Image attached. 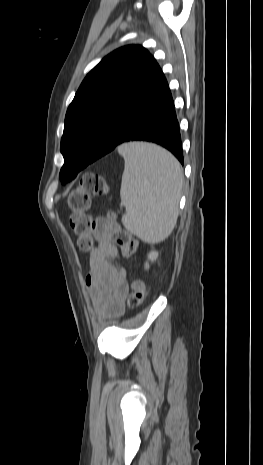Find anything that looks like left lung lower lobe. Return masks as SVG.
<instances>
[{
    "instance_id": "0a47b994",
    "label": "left lung lower lobe",
    "mask_w": 263,
    "mask_h": 465,
    "mask_svg": "<svg viewBox=\"0 0 263 465\" xmlns=\"http://www.w3.org/2000/svg\"><path fill=\"white\" fill-rule=\"evenodd\" d=\"M129 141H148L171 151L184 163L179 124L168 83L156 63L148 72L136 96L118 110L111 129L94 155L87 160L69 155L60 174L74 178L87 165Z\"/></svg>"
}]
</instances>
